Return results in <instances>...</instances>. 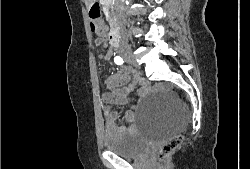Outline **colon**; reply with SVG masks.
I'll use <instances>...</instances> for the list:
<instances>
[{"label":"colon","instance_id":"5ec220e1","mask_svg":"<svg viewBox=\"0 0 250 169\" xmlns=\"http://www.w3.org/2000/svg\"><path fill=\"white\" fill-rule=\"evenodd\" d=\"M89 19L91 30L97 34L103 31L101 11L99 7L93 6L89 9ZM180 97H185V92H180ZM184 134H175L171 138H166V141L162 142L159 146L160 150H157V160H162V165L166 169H171V164H168V156L172 155L174 150H179L180 146H183Z\"/></svg>","mask_w":250,"mask_h":169}]
</instances>
